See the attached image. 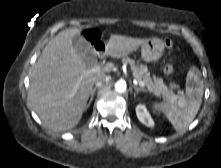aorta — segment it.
<instances>
[{
	"instance_id": "obj_1",
	"label": "aorta",
	"mask_w": 221,
	"mask_h": 168,
	"mask_svg": "<svg viewBox=\"0 0 221 168\" xmlns=\"http://www.w3.org/2000/svg\"><path fill=\"white\" fill-rule=\"evenodd\" d=\"M127 85L124 81H117L115 84V90L119 93H124L126 91Z\"/></svg>"
}]
</instances>
